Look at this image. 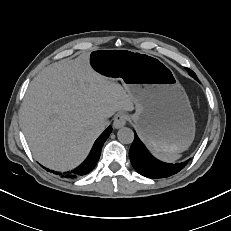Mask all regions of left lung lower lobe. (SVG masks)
Listing matches in <instances>:
<instances>
[{
  "label": "left lung lower lobe",
  "instance_id": "0a47b994",
  "mask_svg": "<svg viewBox=\"0 0 231 231\" xmlns=\"http://www.w3.org/2000/svg\"><path fill=\"white\" fill-rule=\"evenodd\" d=\"M129 158L135 170L147 178L169 177L181 171L188 162L169 164L155 159L136 134L129 151Z\"/></svg>",
  "mask_w": 231,
  "mask_h": 231
}]
</instances>
